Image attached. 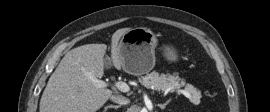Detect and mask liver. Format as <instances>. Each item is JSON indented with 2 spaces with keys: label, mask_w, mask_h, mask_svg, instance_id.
Masks as SVG:
<instances>
[{
  "label": "liver",
  "mask_w": 270,
  "mask_h": 112,
  "mask_svg": "<svg viewBox=\"0 0 270 112\" xmlns=\"http://www.w3.org/2000/svg\"><path fill=\"white\" fill-rule=\"evenodd\" d=\"M131 28L118 29L111 38L113 66L123 68L119 40ZM106 44H86L67 52L52 73L43 91L39 112H96L112 91L95 86L92 79L104 75Z\"/></svg>",
  "instance_id": "1"
}]
</instances>
